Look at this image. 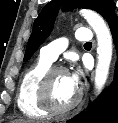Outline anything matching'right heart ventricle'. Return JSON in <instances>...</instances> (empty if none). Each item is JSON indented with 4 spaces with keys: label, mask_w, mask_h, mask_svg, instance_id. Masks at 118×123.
I'll use <instances>...</instances> for the list:
<instances>
[{
    "label": "right heart ventricle",
    "mask_w": 118,
    "mask_h": 123,
    "mask_svg": "<svg viewBox=\"0 0 118 123\" xmlns=\"http://www.w3.org/2000/svg\"><path fill=\"white\" fill-rule=\"evenodd\" d=\"M51 65V62L39 58L21 78L17 92V106L27 117L44 118L49 114L40 105L39 85Z\"/></svg>",
    "instance_id": "right-heart-ventricle-1"
}]
</instances>
